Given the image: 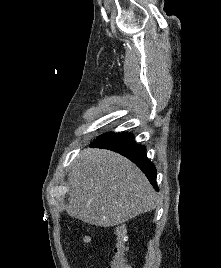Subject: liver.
<instances>
[{"label":"liver","instance_id":"1","mask_svg":"<svg viewBox=\"0 0 221 268\" xmlns=\"http://www.w3.org/2000/svg\"><path fill=\"white\" fill-rule=\"evenodd\" d=\"M68 188L67 213L91 225L116 226L157 206L141 170L109 150H83L70 169Z\"/></svg>","mask_w":221,"mask_h":268}]
</instances>
